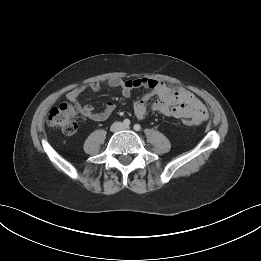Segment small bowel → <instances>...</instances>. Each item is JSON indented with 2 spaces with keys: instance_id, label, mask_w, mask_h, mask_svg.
Returning a JSON list of instances; mask_svg holds the SVG:
<instances>
[{
  "instance_id": "obj_1",
  "label": "small bowel",
  "mask_w": 261,
  "mask_h": 261,
  "mask_svg": "<svg viewBox=\"0 0 261 261\" xmlns=\"http://www.w3.org/2000/svg\"><path fill=\"white\" fill-rule=\"evenodd\" d=\"M102 85L119 88L124 97H130L134 89H146L147 92L133 104V110L138 119H143L148 110L174 118L190 119L193 124H200L208 117L206 107L191 91L145 77L133 79L111 78L105 82L93 81L87 86H80L68 92L67 99L83 117L93 121H104L115 110L116 105L114 102H107L101 112H96L90 104L81 105L79 103V97L86 88L97 92ZM152 97H157V99L149 106L148 102Z\"/></svg>"
}]
</instances>
